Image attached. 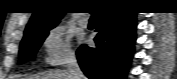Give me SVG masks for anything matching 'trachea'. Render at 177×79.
<instances>
[{"label": "trachea", "instance_id": "obj_1", "mask_svg": "<svg viewBox=\"0 0 177 79\" xmlns=\"http://www.w3.org/2000/svg\"><path fill=\"white\" fill-rule=\"evenodd\" d=\"M96 16L92 13V16H91V18H95Z\"/></svg>", "mask_w": 177, "mask_h": 79}]
</instances>
